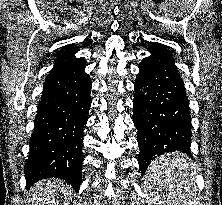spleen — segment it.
I'll use <instances>...</instances> for the list:
<instances>
[{
  "mask_svg": "<svg viewBox=\"0 0 222 205\" xmlns=\"http://www.w3.org/2000/svg\"><path fill=\"white\" fill-rule=\"evenodd\" d=\"M194 176L193 166L180 154L156 158L144 179L149 205H198Z\"/></svg>",
  "mask_w": 222,
  "mask_h": 205,
  "instance_id": "obj_1",
  "label": "spleen"
}]
</instances>
